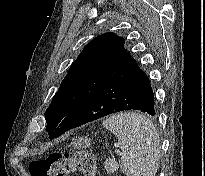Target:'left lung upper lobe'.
<instances>
[{"instance_id":"5c2ea615","label":"left lung upper lobe","mask_w":205,"mask_h":176,"mask_svg":"<svg viewBox=\"0 0 205 176\" xmlns=\"http://www.w3.org/2000/svg\"><path fill=\"white\" fill-rule=\"evenodd\" d=\"M130 58L122 37L105 33L94 38L71 65L45 112L49 138L65 133L96 89Z\"/></svg>"}]
</instances>
